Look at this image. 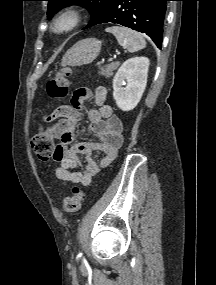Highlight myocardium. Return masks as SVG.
I'll return each mask as SVG.
<instances>
[{"label": "myocardium", "mask_w": 216, "mask_h": 285, "mask_svg": "<svg viewBox=\"0 0 216 285\" xmlns=\"http://www.w3.org/2000/svg\"><path fill=\"white\" fill-rule=\"evenodd\" d=\"M82 21V14L76 8H65L55 15L51 23V30L55 35L66 36L78 28Z\"/></svg>", "instance_id": "obj_1"}]
</instances>
